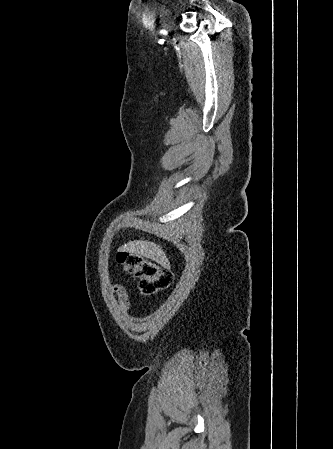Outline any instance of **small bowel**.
I'll use <instances>...</instances> for the list:
<instances>
[{
	"mask_svg": "<svg viewBox=\"0 0 333 449\" xmlns=\"http://www.w3.org/2000/svg\"><path fill=\"white\" fill-rule=\"evenodd\" d=\"M110 293L116 296L118 308L121 312H126L129 308V298L124 286L120 284H113L110 289Z\"/></svg>",
	"mask_w": 333,
	"mask_h": 449,
	"instance_id": "c3829d8e",
	"label": "small bowel"
}]
</instances>
